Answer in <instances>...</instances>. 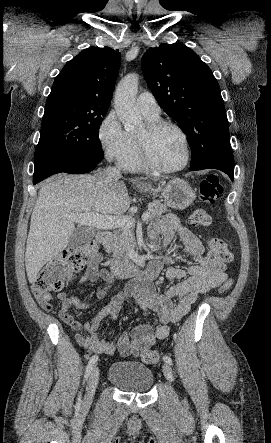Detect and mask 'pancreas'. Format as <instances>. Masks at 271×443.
Segmentation results:
<instances>
[{"label": "pancreas", "mask_w": 271, "mask_h": 443, "mask_svg": "<svg viewBox=\"0 0 271 443\" xmlns=\"http://www.w3.org/2000/svg\"><path fill=\"white\" fill-rule=\"evenodd\" d=\"M149 206H152L150 210V218H155V216H161V214H165L168 212L167 206L165 204H160L158 200H154V202H150ZM135 235L133 229L130 227H123L121 231H117L114 233L112 239L104 245L106 251L109 253H113V257H127L126 251H128L129 247L134 245Z\"/></svg>", "instance_id": "cf45deb5"}]
</instances>
